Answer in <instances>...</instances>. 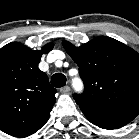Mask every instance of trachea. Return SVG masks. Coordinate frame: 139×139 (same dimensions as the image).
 Returning a JSON list of instances; mask_svg holds the SVG:
<instances>
[{
    "instance_id": "trachea-1",
    "label": "trachea",
    "mask_w": 139,
    "mask_h": 139,
    "mask_svg": "<svg viewBox=\"0 0 139 139\" xmlns=\"http://www.w3.org/2000/svg\"><path fill=\"white\" fill-rule=\"evenodd\" d=\"M51 84L56 88L63 87L66 84V77L61 73H56L51 78Z\"/></svg>"
}]
</instances>
